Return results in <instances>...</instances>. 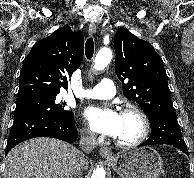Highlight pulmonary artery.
<instances>
[{"mask_svg":"<svg viewBox=\"0 0 194 178\" xmlns=\"http://www.w3.org/2000/svg\"><path fill=\"white\" fill-rule=\"evenodd\" d=\"M115 95V84L110 78H103L98 85L84 89L80 96L87 99H110Z\"/></svg>","mask_w":194,"mask_h":178,"instance_id":"pulmonary-artery-1","label":"pulmonary artery"}]
</instances>
